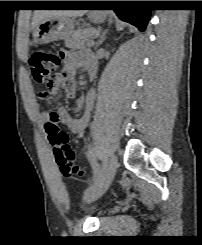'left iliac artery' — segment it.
<instances>
[{"label":"left iliac artery","mask_w":202,"mask_h":245,"mask_svg":"<svg viewBox=\"0 0 202 245\" xmlns=\"http://www.w3.org/2000/svg\"><path fill=\"white\" fill-rule=\"evenodd\" d=\"M93 151H94V147H91L88 151V157L90 158L91 160V164L93 166V170H94V175H93V183L90 185V187L85 191V195H89L93 189H94V186H95V181L96 179L98 178V176L100 175V167H99V164L97 163L95 157H94V154H93Z\"/></svg>","instance_id":"obj_1"}]
</instances>
